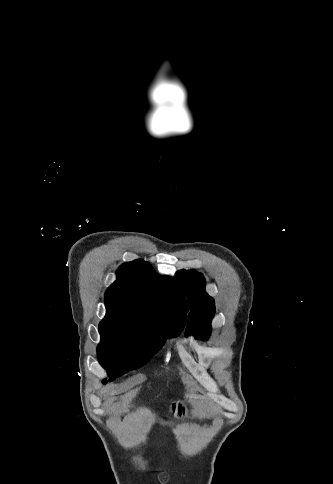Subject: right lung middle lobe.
<instances>
[{"mask_svg":"<svg viewBox=\"0 0 333 484\" xmlns=\"http://www.w3.org/2000/svg\"><path fill=\"white\" fill-rule=\"evenodd\" d=\"M99 332V362L111 375L110 381L115 376L144 365L161 348L166 338L180 333L175 328L153 333L136 323L105 319L99 324Z\"/></svg>","mask_w":333,"mask_h":484,"instance_id":"right-lung-middle-lobe-1","label":"right lung middle lobe"}]
</instances>
